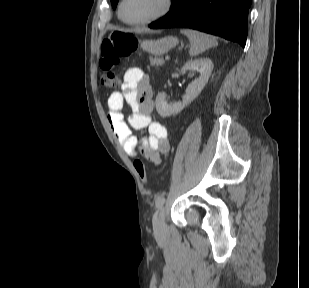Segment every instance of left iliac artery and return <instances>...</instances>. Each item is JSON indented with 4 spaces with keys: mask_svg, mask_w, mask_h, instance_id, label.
I'll return each mask as SVG.
<instances>
[{
    "mask_svg": "<svg viewBox=\"0 0 309 288\" xmlns=\"http://www.w3.org/2000/svg\"><path fill=\"white\" fill-rule=\"evenodd\" d=\"M165 202V198L164 196H159L157 199H156V208H159L161 207Z\"/></svg>",
    "mask_w": 309,
    "mask_h": 288,
    "instance_id": "left-iliac-artery-1",
    "label": "left iliac artery"
}]
</instances>
